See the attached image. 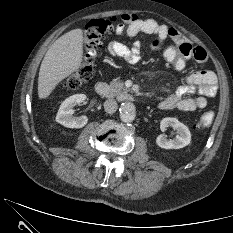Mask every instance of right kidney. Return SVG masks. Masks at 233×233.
Segmentation results:
<instances>
[{
  "label": "right kidney",
  "instance_id": "ca27d5eb",
  "mask_svg": "<svg viewBox=\"0 0 233 233\" xmlns=\"http://www.w3.org/2000/svg\"><path fill=\"white\" fill-rule=\"evenodd\" d=\"M86 100L85 94H75L62 102L57 115L56 122L67 128H82L87 124L88 118L86 116L74 117L73 107Z\"/></svg>",
  "mask_w": 233,
  "mask_h": 233
}]
</instances>
